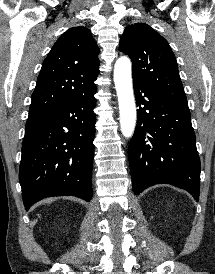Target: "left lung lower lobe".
<instances>
[{
	"instance_id": "0a47b994",
	"label": "left lung lower lobe",
	"mask_w": 215,
	"mask_h": 274,
	"mask_svg": "<svg viewBox=\"0 0 215 274\" xmlns=\"http://www.w3.org/2000/svg\"><path fill=\"white\" fill-rule=\"evenodd\" d=\"M133 84L139 106L128 149L134 193L165 183L188 191L198 201L200 159L188 104L142 83Z\"/></svg>"
}]
</instances>
